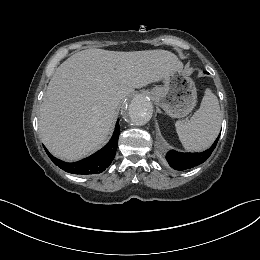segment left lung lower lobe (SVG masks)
Instances as JSON below:
<instances>
[{
  "label": "left lung lower lobe",
  "mask_w": 260,
  "mask_h": 260,
  "mask_svg": "<svg viewBox=\"0 0 260 260\" xmlns=\"http://www.w3.org/2000/svg\"><path fill=\"white\" fill-rule=\"evenodd\" d=\"M218 139L219 136L209 149L201 153H182L175 150L169 151L166 155V160L169 165L176 170H186L198 166L210 157L212 151L216 147Z\"/></svg>",
  "instance_id": "left-lung-lower-lobe-1"
}]
</instances>
